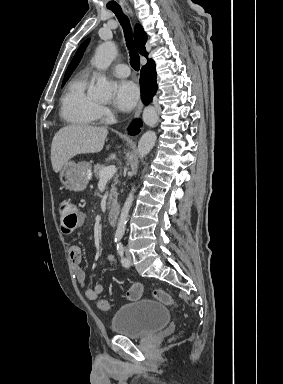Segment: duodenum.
<instances>
[{
	"instance_id": "obj_1",
	"label": "duodenum",
	"mask_w": 283,
	"mask_h": 384,
	"mask_svg": "<svg viewBox=\"0 0 283 384\" xmlns=\"http://www.w3.org/2000/svg\"><path fill=\"white\" fill-rule=\"evenodd\" d=\"M108 222L110 225H116L119 219V209L116 207L108 212L107 215Z\"/></svg>"
}]
</instances>
